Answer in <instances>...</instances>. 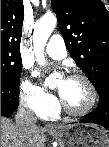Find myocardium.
Wrapping results in <instances>:
<instances>
[{
    "mask_svg": "<svg viewBox=\"0 0 109 147\" xmlns=\"http://www.w3.org/2000/svg\"><path fill=\"white\" fill-rule=\"evenodd\" d=\"M68 78L82 80L90 89L91 101L86 108L81 109V110H74V109L70 108L67 105V103L65 102V100L60 96V99H59L60 109L64 110L67 114L72 115V116H83V115L90 113L95 108L97 101H98V93H97V90H96L94 84L86 75H84L82 73H77V72L72 73L69 75Z\"/></svg>",
    "mask_w": 109,
    "mask_h": 147,
    "instance_id": "1",
    "label": "myocardium"
}]
</instances>
